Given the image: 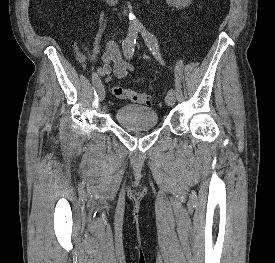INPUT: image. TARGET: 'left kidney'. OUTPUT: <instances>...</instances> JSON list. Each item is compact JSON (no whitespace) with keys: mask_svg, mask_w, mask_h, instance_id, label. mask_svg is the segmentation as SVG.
Wrapping results in <instances>:
<instances>
[{"mask_svg":"<svg viewBox=\"0 0 275 263\" xmlns=\"http://www.w3.org/2000/svg\"><path fill=\"white\" fill-rule=\"evenodd\" d=\"M168 4L176 8H185L190 5L192 0H166Z\"/></svg>","mask_w":275,"mask_h":263,"instance_id":"left-kidney-1","label":"left kidney"}]
</instances>
